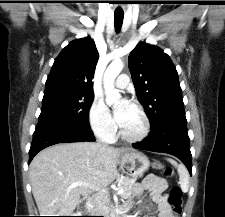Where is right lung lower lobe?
Segmentation results:
<instances>
[{
	"label": "right lung lower lobe",
	"mask_w": 225,
	"mask_h": 217,
	"mask_svg": "<svg viewBox=\"0 0 225 217\" xmlns=\"http://www.w3.org/2000/svg\"><path fill=\"white\" fill-rule=\"evenodd\" d=\"M89 122L80 123L52 116H39L29 151V163L42 149L63 142L94 141Z\"/></svg>",
	"instance_id": "obj_1"
}]
</instances>
